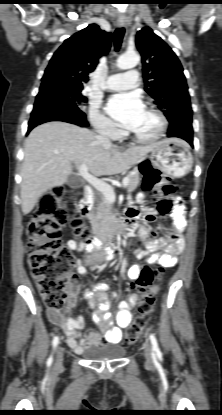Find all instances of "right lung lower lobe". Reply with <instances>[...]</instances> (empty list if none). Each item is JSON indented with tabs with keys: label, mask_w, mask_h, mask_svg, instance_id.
Returning a JSON list of instances; mask_svg holds the SVG:
<instances>
[{
	"label": "right lung lower lobe",
	"mask_w": 222,
	"mask_h": 415,
	"mask_svg": "<svg viewBox=\"0 0 222 415\" xmlns=\"http://www.w3.org/2000/svg\"><path fill=\"white\" fill-rule=\"evenodd\" d=\"M49 121H64L88 127L85 114L59 89V84L41 85L29 121V133L35 126Z\"/></svg>",
	"instance_id": "obj_1"
}]
</instances>
